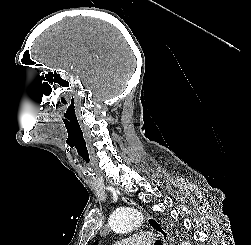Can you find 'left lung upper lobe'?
<instances>
[{"label": "left lung upper lobe", "mask_w": 251, "mask_h": 245, "mask_svg": "<svg viewBox=\"0 0 251 245\" xmlns=\"http://www.w3.org/2000/svg\"><path fill=\"white\" fill-rule=\"evenodd\" d=\"M98 244V241L94 242L93 245H97Z\"/></svg>", "instance_id": "obj_1"}]
</instances>
